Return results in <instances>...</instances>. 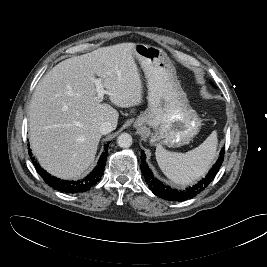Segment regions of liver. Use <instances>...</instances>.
I'll return each instance as SVG.
<instances>
[{
    "mask_svg": "<svg viewBox=\"0 0 267 267\" xmlns=\"http://www.w3.org/2000/svg\"><path fill=\"white\" fill-rule=\"evenodd\" d=\"M134 43L98 48L54 66L37 84L29 106V139L40 165L63 179L81 177L94 162L103 122L119 114L98 99V76L109 100L128 108L142 102Z\"/></svg>",
    "mask_w": 267,
    "mask_h": 267,
    "instance_id": "obj_1",
    "label": "liver"
}]
</instances>
